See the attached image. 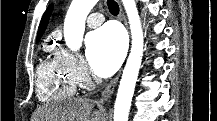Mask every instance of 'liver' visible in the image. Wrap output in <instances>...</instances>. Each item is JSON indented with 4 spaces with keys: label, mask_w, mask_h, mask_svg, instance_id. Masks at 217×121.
<instances>
[{
    "label": "liver",
    "mask_w": 217,
    "mask_h": 121,
    "mask_svg": "<svg viewBox=\"0 0 217 121\" xmlns=\"http://www.w3.org/2000/svg\"><path fill=\"white\" fill-rule=\"evenodd\" d=\"M94 102L90 99L76 98L60 104L43 106L38 111V121H101L99 111L92 112Z\"/></svg>",
    "instance_id": "obj_1"
}]
</instances>
